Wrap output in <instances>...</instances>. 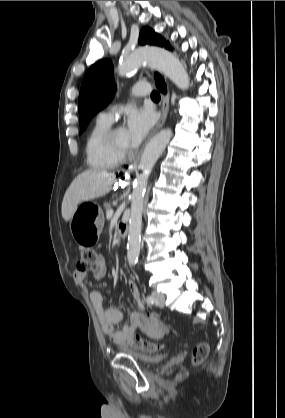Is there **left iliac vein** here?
Segmentation results:
<instances>
[{"instance_id":"4c4485c4","label":"left iliac vein","mask_w":285,"mask_h":418,"mask_svg":"<svg viewBox=\"0 0 285 418\" xmlns=\"http://www.w3.org/2000/svg\"><path fill=\"white\" fill-rule=\"evenodd\" d=\"M151 296L154 298L155 303L159 307H163L165 304V297L159 292H152Z\"/></svg>"}]
</instances>
